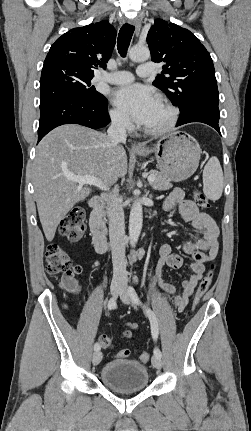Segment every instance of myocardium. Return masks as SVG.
<instances>
[{"mask_svg":"<svg viewBox=\"0 0 251 431\" xmlns=\"http://www.w3.org/2000/svg\"><path fill=\"white\" fill-rule=\"evenodd\" d=\"M159 102L166 107L169 112V117L167 121L160 127L157 128H149L144 126L143 131L145 134L150 136H160L164 135L174 129L179 119V110L178 108L168 99L160 98Z\"/></svg>","mask_w":251,"mask_h":431,"instance_id":"f54148a6","label":"myocardium"}]
</instances>
